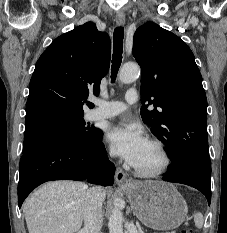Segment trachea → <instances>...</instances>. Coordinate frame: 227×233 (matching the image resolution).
<instances>
[{
  "instance_id": "1",
  "label": "trachea",
  "mask_w": 227,
  "mask_h": 233,
  "mask_svg": "<svg viewBox=\"0 0 227 233\" xmlns=\"http://www.w3.org/2000/svg\"><path fill=\"white\" fill-rule=\"evenodd\" d=\"M124 28L117 27L113 34V59L111 66V81L114 82L121 65L123 53Z\"/></svg>"
}]
</instances>
